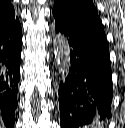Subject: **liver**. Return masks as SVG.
I'll return each mask as SVG.
<instances>
[{
    "label": "liver",
    "instance_id": "obj_1",
    "mask_svg": "<svg viewBox=\"0 0 125 128\" xmlns=\"http://www.w3.org/2000/svg\"><path fill=\"white\" fill-rule=\"evenodd\" d=\"M4 126H3V123H2V121H1V119H0V128H3Z\"/></svg>",
    "mask_w": 125,
    "mask_h": 128
}]
</instances>
